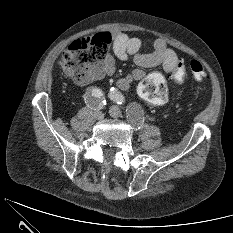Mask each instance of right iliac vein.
Masks as SVG:
<instances>
[{
  "mask_svg": "<svg viewBox=\"0 0 233 233\" xmlns=\"http://www.w3.org/2000/svg\"><path fill=\"white\" fill-rule=\"evenodd\" d=\"M94 116L97 120H102L104 118V114L100 110L95 111Z\"/></svg>",
  "mask_w": 233,
  "mask_h": 233,
  "instance_id": "1",
  "label": "right iliac vein"
}]
</instances>
